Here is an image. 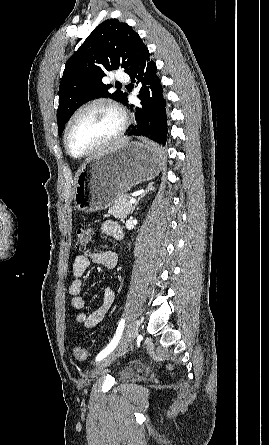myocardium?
Wrapping results in <instances>:
<instances>
[{
  "mask_svg": "<svg viewBox=\"0 0 269 445\" xmlns=\"http://www.w3.org/2000/svg\"><path fill=\"white\" fill-rule=\"evenodd\" d=\"M94 107H105V108L112 110L119 117V120H120L119 127L116 130V132L109 138L105 139L104 141H102L101 143H99L98 145L93 147L92 149L88 150L87 152L80 154V155H76L71 152V150L68 146L69 130H70L71 125L74 122V120L82 112L89 110L91 108H94ZM127 127H128V118H127L125 112L123 111V109L119 105H117L115 102H113L109 99H105V98L96 99V100L90 101V102L84 104L83 106L79 107L68 119V121L65 125V128H64V132H63L64 148H65L67 154L69 156H71L72 158L83 159V158H86L93 154L98 153L99 151L103 150L107 146H109L112 143H114L115 141H117L125 133Z\"/></svg>",
  "mask_w": 269,
  "mask_h": 445,
  "instance_id": "obj_1",
  "label": "myocardium"
}]
</instances>
